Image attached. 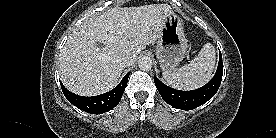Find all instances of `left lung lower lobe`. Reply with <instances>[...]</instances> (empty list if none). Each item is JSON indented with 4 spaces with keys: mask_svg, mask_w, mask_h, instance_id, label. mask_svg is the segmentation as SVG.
<instances>
[{
    "mask_svg": "<svg viewBox=\"0 0 276 138\" xmlns=\"http://www.w3.org/2000/svg\"><path fill=\"white\" fill-rule=\"evenodd\" d=\"M223 75V63L220 52L219 64L214 77L203 87L191 90L180 91L164 85L156 76H154L155 85L163 100L174 108L181 110H192L206 103L215 95L221 84Z\"/></svg>",
    "mask_w": 276,
    "mask_h": 138,
    "instance_id": "0a47b994",
    "label": "left lung lower lobe"
}]
</instances>
